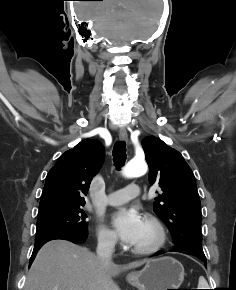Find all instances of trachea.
<instances>
[{
    "label": "trachea",
    "mask_w": 236,
    "mask_h": 290,
    "mask_svg": "<svg viewBox=\"0 0 236 290\" xmlns=\"http://www.w3.org/2000/svg\"><path fill=\"white\" fill-rule=\"evenodd\" d=\"M113 161L117 169H120L126 161V144L117 142L113 147Z\"/></svg>",
    "instance_id": "obj_1"
}]
</instances>
